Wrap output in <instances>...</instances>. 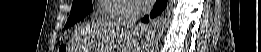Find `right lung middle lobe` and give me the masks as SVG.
<instances>
[{
	"label": "right lung middle lobe",
	"mask_w": 261,
	"mask_h": 52,
	"mask_svg": "<svg viewBox=\"0 0 261 52\" xmlns=\"http://www.w3.org/2000/svg\"><path fill=\"white\" fill-rule=\"evenodd\" d=\"M91 0H74L70 17L67 20L65 28L72 26L74 23L83 19L92 10Z\"/></svg>",
	"instance_id": "1"
}]
</instances>
